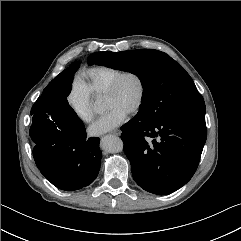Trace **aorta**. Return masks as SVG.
I'll use <instances>...</instances> for the list:
<instances>
[{"label": "aorta", "instance_id": "762f6f07", "mask_svg": "<svg viewBox=\"0 0 241 241\" xmlns=\"http://www.w3.org/2000/svg\"><path fill=\"white\" fill-rule=\"evenodd\" d=\"M99 101L95 104V110L99 112ZM101 147L109 153H118L123 150V142L119 137L113 135L104 136L101 140Z\"/></svg>", "mask_w": 241, "mask_h": 241}]
</instances>
